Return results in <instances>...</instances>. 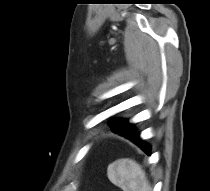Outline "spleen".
<instances>
[{"label": "spleen", "instance_id": "3e777b00", "mask_svg": "<svg viewBox=\"0 0 210 191\" xmlns=\"http://www.w3.org/2000/svg\"><path fill=\"white\" fill-rule=\"evenodd\" d=\"M107 175L123 191H151L142 167L132 159H118L108 166Z\"/></svg>", "mask_w": 210, "mask_h": 191}]
</instances>
